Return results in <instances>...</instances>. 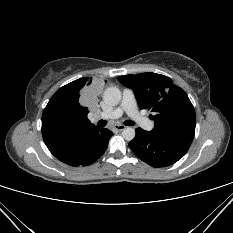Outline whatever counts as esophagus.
Listing matches in <instances>:
<instances>
[{"instance_id":"esophagus-1","label":"esophagus","mask_w":233,"mask_h":233,"mask_svg":"<svg viewBox=\"0 0 233 233\" xmlns=\"http://www.w3.org/2000/svg\"><path fill=\"white\" fill-rule=\"evenodd\" d=\"M126 128V126L124 125H121V124H118V125H115L113 129L117 130V131H122Z\"/></svg>"}]
</instances>
